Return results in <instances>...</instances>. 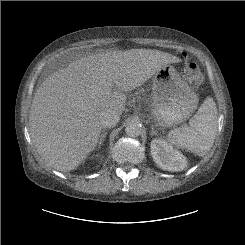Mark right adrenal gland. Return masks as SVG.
Instances as JSON below:
<instances>
[{
  "label": "right adrenal gland",
  "instance_id": "obj_1",
  "mask_svg": "<svg viewBox=\"0 0 245 245\" xmlns=\"http://www.w3.org/2000/svg\"><path fill=\"white\" fill-rule=\"evenodd\" d=\"M107 132L105 131V129H103L102 134L100 135V139L98 141V148L101 146V144L103 143L105 137H106Z\"/></svg>",
  "mask_w": 245,
  "mask_h": 245
}]
</instances>
